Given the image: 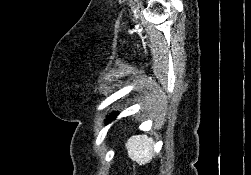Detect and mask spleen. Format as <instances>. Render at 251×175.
I'll list each match as a JSON object with an SVG mask.
<instances>
[{"instance_id": "spleen-1", "label": "spleen", "mask_w": 251, "mask_h": 175, "mask_svg": "<svg viewBox=\"0 0 251 175\" xmlns=\"http://www.w3.org/2000/svg\"><path fill=\"white\" fill-rule=\"evenodd\" d=\"M154 145L153 137H147V135H133L126 143L129 157L137 161L139 165L150 163L154 157Z\"/></svg>"}]
</instances>
